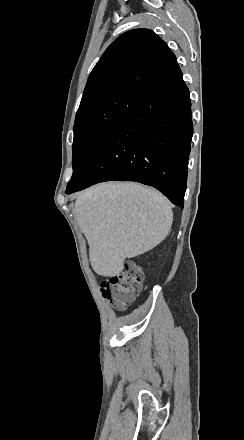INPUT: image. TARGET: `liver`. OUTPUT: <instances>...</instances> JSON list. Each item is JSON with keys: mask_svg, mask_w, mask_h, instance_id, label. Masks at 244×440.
I'll return each instance as SVG.
<instances>
[{"mask_svg": "<svg viewBox=\"0 0 244 440\" xmlns=\"http://www.w3.org/2000/svg\"><path fill=\"white\" fill-rule=\"evenodd\" d=\"M75 216L88 242L92 270L119 276L126 258L149 252L165 240L173 222L160 192L137 182H105L75 202Z\"/></svg>", "mask_w": 244, "mask_h": 440, "instance_id": "1", "label": "liver"}]
</instances>
